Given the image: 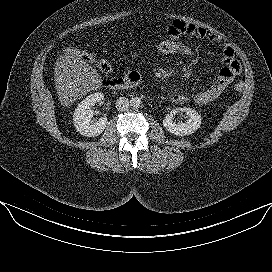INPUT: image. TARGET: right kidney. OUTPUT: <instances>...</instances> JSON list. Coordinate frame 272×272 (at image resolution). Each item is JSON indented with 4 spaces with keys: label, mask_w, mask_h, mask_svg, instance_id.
Instances as JSON below:
<instances>
[{
    "label": "right kidney",
    "mask_w": 272,
    "mask_h": 272,
    "mask_svg": "<svg viewBox=\"0 0 272 272\" xmlns=\"http://www.w3.org/2000/svg\"><path fill=\"white\" fill-rule=\"evenodd\" d=\"M103 99V93L96 92L90 94L78 104L73 115V123L81 135L95 137L100 135L106 128V117H101L98 121L92 119L94 110H92L91 107L94 106L95 103L102 102Z\"/></svg>",
    "instance_id": "1"
}]
</instances>
